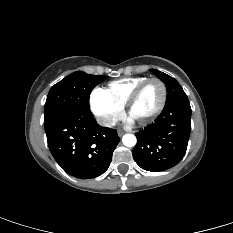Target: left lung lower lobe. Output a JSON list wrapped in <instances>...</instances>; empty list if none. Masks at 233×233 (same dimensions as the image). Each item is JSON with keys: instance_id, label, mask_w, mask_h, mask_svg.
<instances>
[{"instance_id": "0a47b994", "label": "left lung lower lobe", "mask_w": 233, "mask_h": 233, "mask_svg": "<svg viewBox=\"0 0 233 233\" xmlns=\"http://www.w3.org/2000/svg\"><path fill=\"white\" fill-rule=\"evenodd\" d=\"M190 131L191 107L183 94L166 103L155 123L136 134L133 158L146 171L167 170L184 157Z\"/></svg>"}]
</instances>
